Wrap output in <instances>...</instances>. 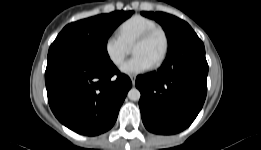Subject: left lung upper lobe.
Segmentation results:
<instances>
[{"mask_svg":"<svg viewBox=\"0 0 261 150\" xmlns=\"http://www.w3.org/2000/svg\"><path fill=\"white\" fill-rule=\"evenodd\" d=\"M143 16L156 20L162 25L168 38V51L182 39L194 34L193 29L183 20L163 12H142Z\"/></svg>","mask_w":261,"mask_h":150,"instance_id":"obj_1","label":"left lung upper lobe"}]
</instances>
